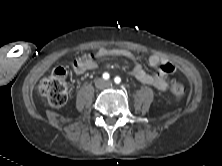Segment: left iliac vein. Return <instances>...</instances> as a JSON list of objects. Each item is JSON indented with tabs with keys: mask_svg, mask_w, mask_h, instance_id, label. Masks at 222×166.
Returning <instances> with one entry per match:
<instances>
[{
	"mask_svg": "<svg viewBox=\"0 0 222 166\" xmlns=\"http://www.w3.org/2000/svg\"><path fill=\"white\" fill-rule=\"evenodd\" d=\"M107 84L110 85V84H111V81H107Z\"/></svg>",
	"mask_w": 222,
	"mask_h": 166,
	"instance_id": "1",
	"label": "left iliac vein"
}]
</instances>
